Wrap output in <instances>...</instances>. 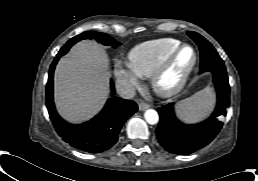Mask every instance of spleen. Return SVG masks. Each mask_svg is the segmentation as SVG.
Here are the masks:
<instances>
[{"instance_id": "3e777b00", "label": "spleen", "mask_w": 258, "mask_h": 181, "mask_svg": "<svg viewBox=\"0 0 258 181\" xmlns=\"http://www.w3.org/2000/svg\"><path fill=\"white\" fill-rule=\"evenodd\" d=\"M215 94L210 86L198 91L176 105V113L180 120L195 123L205 118L212 111Z\"/></svg>"}]
</instances>
